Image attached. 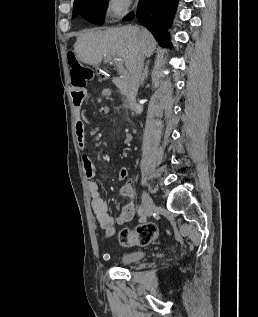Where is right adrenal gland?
<instances>
[{"label": "right adrenal gland", "instance_id": "1", "mask_svg": "<svg viewBox=\"0 0 258 317\" xmlns=\"http://www.w3.org/2000/svg\"><path fill=\"white\" fill-rule=\"evenodd\" d=\"M148 64H149V60H148V62H146V66H145V68H144V70L142 72L141 80L139 82L140 86H143L144 80H145L147 74H149V66H148Z\"/></svg>", "mask_w": 258, "mask_h": 317}]
</instances>
